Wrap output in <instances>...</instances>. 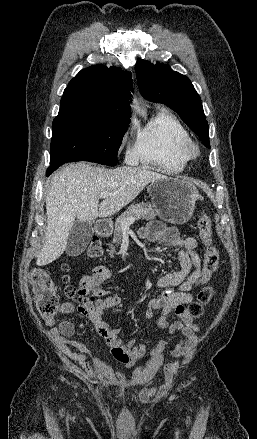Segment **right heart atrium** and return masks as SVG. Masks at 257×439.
<instances>
[{
    "label": "right heart atrium",
    "instance_id": "right-heart-atrium-1",
    "mask_svg": "<svg viewBox=\"0 0 257 439\" xmlns=\"http://www.w3.org/2000/svg\"><path fill=\"white\" fill-rule=\"evenodd\" d=\"M134 127L130 126L127 136L125 138L126 149H125V159L129 162H133L136 159V147L134 141Z\"/></svg>",
    "mask_w": 257,
    "mask_h": 439
}]
</instances>
